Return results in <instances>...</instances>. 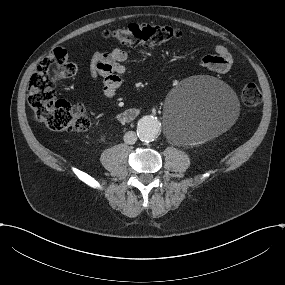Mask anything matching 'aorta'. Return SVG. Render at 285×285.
Segmentation results:
<instances>
[{
	"mask_svg": "<svg viewBox=\"0 0 285 285\" xmlns=\"http://www.w3.org/2000/svg\"><path fill=\"white\" fill-rule=\"evenodd\" d=\"M161 124L159 121L151 116L141 118L137 126V135L143 142L154 141L160 132Z\"/></svg>",
	"mask_w": 285,
	"mask_h": 285,
	"instance_id": "obj_1",
	"label": "aorta"
}]
</instances>
